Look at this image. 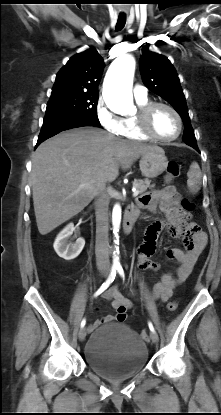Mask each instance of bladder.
Here are the masks:
<instances>
[{
    "instance_id": "bladder-1",
    "label": "bladder",
    "mask_w": 221,
    "mask_h": 415,
    "mask_svg": "<svg viewBox=\"0 0 221 415\" xmlns=\"http://www.w3.org/2000/svg\"><path fill=\"white\" fill-rule=\"evenodd\" d=\"M87 365L111 380L131 377L145 368L148 348L140 336L122 322L96 329L85 347Z\"/></svg>"
}]
</instances>
